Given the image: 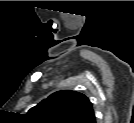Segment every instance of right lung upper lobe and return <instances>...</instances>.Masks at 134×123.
<instances>
[{
  "mask_svg": "<svg viewBox=\"0 0 134 123\" xmlns=\"http://www.w3.org/2000/svg\"><path fill=\"white\" fill-rule=\"evenodd\" d=\"M26 117L33 123H95L90 100L72 90L51 94L31 108Z\"/></svg>",
  "mask_w": 134,
  "mask_h": 123,
  "instance_id": "right-lung-upper-lobe-1",
  "label": "right lung upper lobe"
}]
</instances>
